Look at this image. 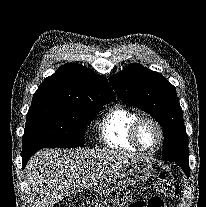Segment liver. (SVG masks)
<instances>
[{
    "label": "liver",
    "mask_w": 206,
    "mask_h": 207,
    "mask_svg": "<svg viewBox=\"0 0 206 207\" xmlns=\"http://www.w3.org/2000/svg\"><path fill=\"white\" fill-rule=\"evenodd\" d=\"M138 158L111 150H39L26 166L34 207H53L64 197L96 186Z\"/></svg>",
    "instance_id": "1"
}]
</instances>
